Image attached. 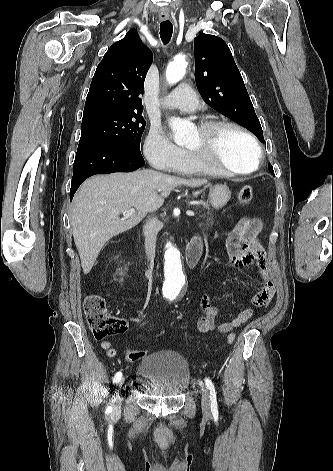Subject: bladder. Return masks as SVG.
<instances>
[{"label": "bladder", "mask_w": 333, "mask_h": 471, "mask_svg": "<svg viewBox=\"0 0 333 471\" xmlns=\"http://www.w3.org/2000/svg\"><path fill=\"white\" fill-rule=\"evenodd\" d=\"M137 377L149 382L150 393L163 398L182 395L191 383L187 360L178 352L160 350L144 357Z\"/></svg>", "instance_id": "1"}]
</instances>
